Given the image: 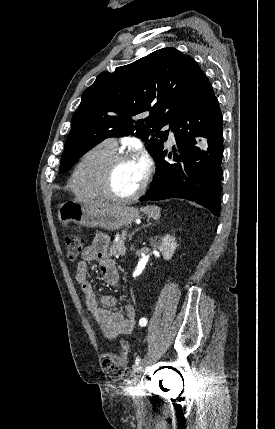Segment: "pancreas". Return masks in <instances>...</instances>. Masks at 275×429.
I'll return each mask as SVG.
<instances>
[{"label": "pancreas", "instance_id": "1", "mask_svg": "<svg viewBox=\"0 0 275 429\" xmlns=\"http://www.w3.org/2000/svg\"><path fill=\"white\" fill-rule=\"evenodd\" d=\"M125 238L120 236L117 242H114L110 247V256H124L126 253V247L124 245Z\"/></svg>", "mask_w": 275, "mask_h": 429}]
</instances>
